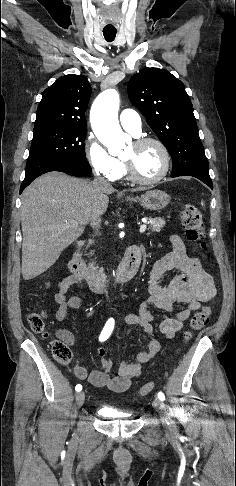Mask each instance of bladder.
<instances>
[{
	"mask_svg": "<svg viewBox=\"0 0 236 486\" xmlns=\"http://www.w3.org/2000/svg\"><path fill=\"white\" fill-rule=\"evenodd\" d=\"M99 414L104 417L116 418V419H130L132 414L125 412L114 407L103 405L98 410Z\"/></svg>",
	"mask_w": 236,
	"mask_h": 486,
	"instance_id": "obj_1",
	"label": "bladder"
}]
</instances>
